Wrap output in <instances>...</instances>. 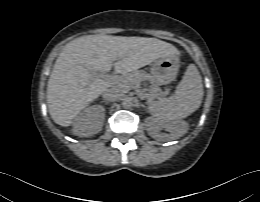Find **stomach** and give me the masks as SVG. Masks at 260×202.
Segmentation results:
<instances>
[{
  "mask_svg": "<svg viewBox=\"0 0 260 202\" xmlns=\"http://www.w3.org/2000/svg\"><path fill=\"white\" fill-rule=\"evenodd\" d=\"M178 59L175 55H164L156 59L151 67L153 82L163 85L175 79L178 72Z\"/></svg>",
  "mask_w": 260,
  "mask_h": 202,
  "instance_id": "stomach-1",
  "label": "stomach"
}]
</instances>
